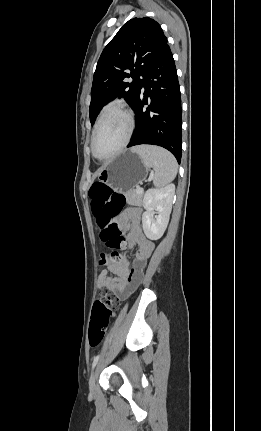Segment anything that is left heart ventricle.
<instances>
[{"label":"left heart ventricle","mask_w":261,"mask_h":431,"mask_svg":"<svg viewBox=\"0 0 261 431\" xmlns=\"http://www.w3.org/2000/svg\"><path fill=\"white\" fill-rule=\"evenodd\" d=\"M127 128V121L123 114L117 111L108 113L96 134V154L99 157L112 154L123 142Z\"/></svg>","instance_id":"obj_1"}]
</instances>
